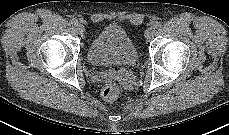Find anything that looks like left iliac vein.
<instances>
[{
    "label": "left iliac vein",
    "instance_id": "4c4485c4",
    "mask_svg": "<svg viewBox=\"0 0 229 135\" xmlns=\"http://www.w3.org/2000/svg\"><path fill=\"white\" fill-rule=\"evenodd\" d=\"M155 32H156L155 27L154 26H150L145 31V37L147 39H151L154 36Z\"/></svg>",
    "mask_w": 229,
    "mask_h": 135
}]
</instances>
